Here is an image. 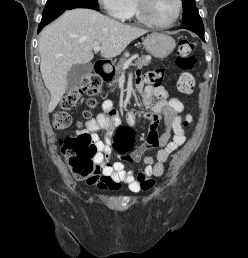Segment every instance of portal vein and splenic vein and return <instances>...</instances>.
Masks as SVG:
<instances>
[{
	"label": "portal vein and splenic vein",
	"mask_w": 248,
	"mask_h": 258,
	"mask_svg": "<svg viewBox=\"0 0 248 258\" xmlns=\"http://www.w3.org/2000/svg\"><path fill=\"white\" fill-rule=\"evenodd\" d=\"M101 47L99 45L95 46L94 47V51L95 52H98L100 51ZM138 58V55H133L132 57H130L124 64H123V69H127L131 64H132V61L137 59Z\"/></svg>",
	"instance_id": "portal-vein-and-splenic-vein-1"
}]
</instances>
